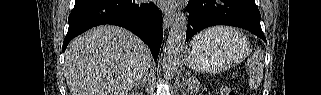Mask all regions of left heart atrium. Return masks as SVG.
<instances>
[{"label": "left heart atrium", "mask_w": 321, "mask_h": 95, "mask_svg": "<svg viewBox=\"0 0 321 95\" xmlns=\"http://www.w3.org/2000/svg\"><path fill=\"white\" fill-rule=\"evenodd\" d=\"M160 3L162 4V6H173L175 3H177V1H175V0H162V1H160Z\"/></svg>", "instance_id": "obj_1"}]
</instances>
